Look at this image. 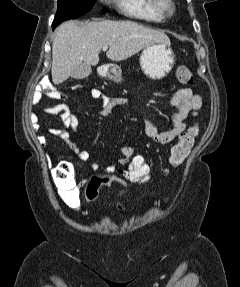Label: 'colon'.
<instances>
[{"mask_svg": "<svg viewBox=\"0 0 240 287\" xmlns=\"http://www.w3.org/2000/svg\"><path fill=\"white\" fill-rule=\"evenodd\" d=\"M175 75L176 79L182 84H191L193 82L192 72L186 66H179L176 69ZM83 88V85H77L75 87V89ZM197 133V126L192 125L179 135L177 143L170 149L168 166L163 170L166 176L170 175L176 167L183 163L194 145ZM53 178L62 189V194H71L76 189L73 167L69 162H60L53 169ZM124 178L132 183H147L152 178V169L146 157L134 151L126 165ZM84 186L85 201L88 205H92L97 200L99 191L103 187H117L123 196L127 193L124 181L110 175L94 176L90 181L86 182ZM122 207L123 204L120 203L119 208L122 209Z\"/></svg>", "mask_w": 240, "mask_h": 287, "instance_id": "colon-1", "label": "colon"}]
</instances>
